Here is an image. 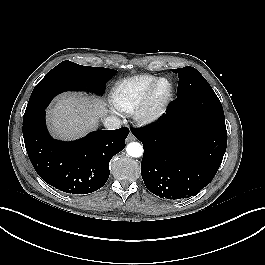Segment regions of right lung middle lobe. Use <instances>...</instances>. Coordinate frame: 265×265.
<instances>
[{"label":"right lung middle lobe","mask_w":265,"mask_h":265,"mask_svg":"<svg viewBox=\"0 0 265 265\" xmlns=\"http://www.w3.org/2000/svg\"><path fill=\"white\" fill-rule=\"evenodd\" d=\"M116 74V70L78 65L63 61L49 71L35 86L23 120L44 110L50 101L64 91L88 90L103 94L105 83Z\"/></svg>","instance_id":"1"}]
</instances>
